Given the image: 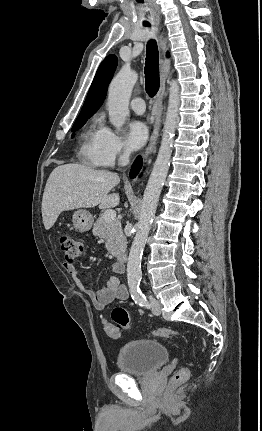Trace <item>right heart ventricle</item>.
<instances>
[{
  "label": "right heart ventricle",
  "instance_id": "1",
  "mask_svg": "<svg viewBox=\"0 0 262 431\" xmlns=\"http://www.w3.org/2000/svg\"><path fill=\"white\" fill-rule=\"evenodd\" d=\"M101 133V126L94 120L85 131L80 148V156L91 166L101 165L98 151V141Z\"/></svg>",
  "mask_w": 262,
  "mask_h": 431
}]
</instances>
